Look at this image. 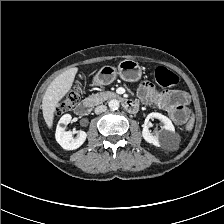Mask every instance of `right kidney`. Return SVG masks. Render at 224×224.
Instances as JSON below:
<instances>
[{
	"label": "right kidney",
	"mask_w": 224,
	"mask_h": 224,
	"mask_svg": "<svg viewBox=\"0 0 224 224\" xmlns=\"http://www.w3.org/2000/svg\"><path fill=\"white\" fill-rule=\"evenodd\" d=\"M71 115L65 114L60 120L59 124L67 125L71 122ZM87 134L84 131H79L76 138H73V133L71 131H65V128L60 125L56 128L55 138L56 141L61 145L65 150H75L79 148L86 140Z\"/></svg>",
	"instance_id": "obj_1"
}]
</instances>
